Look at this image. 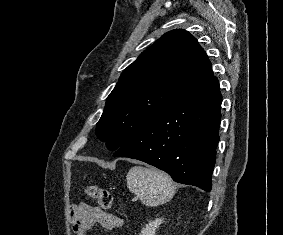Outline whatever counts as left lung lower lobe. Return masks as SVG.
I'll return each mask as SVG.
<instances>
[{
  "label": "left lung lower lobe",
  "instance_id": "1",
  "mask_svg": "<svg viewBox=\"0 0 283 235\" xmlns=\"http://www.w3.org/2000/svg\"><path fill=\"white\" fill-rule=\"evenodd\" d=\"M221 102L218 79L213 76L154 119L113 156L146 162L167 172L175 182L209 192Z\"/></svg>",
  "mask_w": 283,
  "mask_h": 235
}]
</instances>
